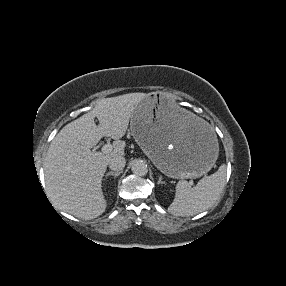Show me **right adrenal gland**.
Listing matches in <instances>:
<instances>
[{"label":"right adrenal gland","mask_w":286,"mask_h":286,"mask_svg":"<svg viewBox=\"0 0 286 286\" xmlns=\"http://www.w3.org/2000/svg\"><path fill=\"white\" fill-rule=\"evenodd\" d=\"M120 174H121V172H108L105 177L107 178L108 176H114L116 178Z\"/></svg>","instance_id":"right-adrenal-gland-1"}]
</instances>
